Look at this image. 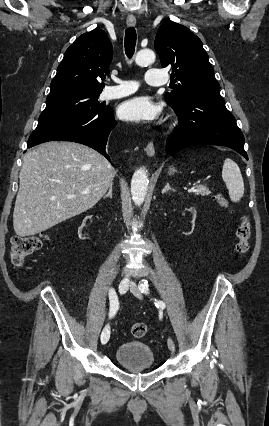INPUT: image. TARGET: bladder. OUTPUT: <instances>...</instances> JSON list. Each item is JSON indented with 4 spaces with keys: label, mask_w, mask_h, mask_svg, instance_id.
I'll use <instances>...</instances> for the list:
<instances>
[{
    "label": "bladder",
    "mask_w": 269,
    "mask_h": 426,
    "mask_svg": "<svg viewBox=\"0 0 269 426\" xmlns=\"http://www.w3.org/2000/svg\"><path fill=\"white\" fill-rule=\"evenodd\" d=\"M114 359L122 368L135 371L152 368L155 362V355L145 343L127 341L116 348Z\"/></svg>",
    "instance_id": "bladder-1"
}]
</instances>
